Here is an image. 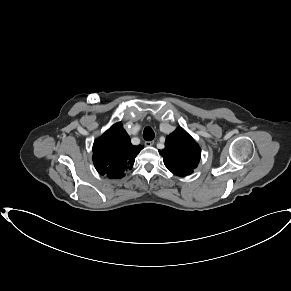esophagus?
<instances>
[{"label":"esophagus","instance_id":"esophagus-1","mask_svg":"<svg viewBox=\"0 0 291 291\" xmlns=\"http://www.w3.org/2000/svg\"><path fill=\"white\" fill-rule=\"evenodd\" d=\"M154 144V141H145L146 146H152Z\"/></svg>","mask_w":291,"mask_h":291}]
</instances>
